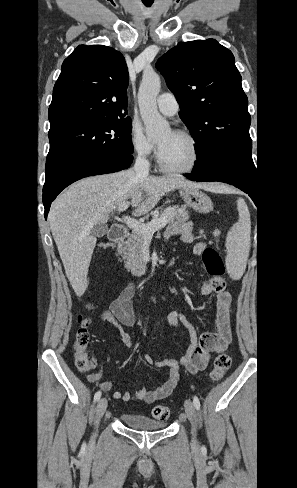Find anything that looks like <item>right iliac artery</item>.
<instances>
[{"label": "right iliac artery", "instance_id": "obj_1", "mask_svg": "<svg viewBox=\"0 0 297 488\" xmlns=\"http://www.w3.org/2000/svg\"><path fill=\"white\" fill-rule=\"evenodd\" d=\"M101 397V392L97 391L94 395V402H97Z\"/></svg>", "mask_w": 297, "mask_h": 488}]
</instances>
